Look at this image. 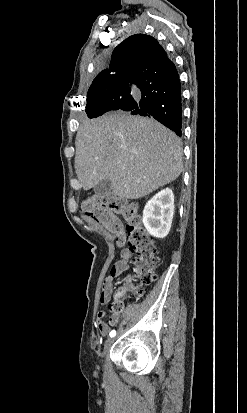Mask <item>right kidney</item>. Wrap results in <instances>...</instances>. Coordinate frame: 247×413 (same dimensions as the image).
<instances>
[{
	"label": "right kidney",
	"instance_id": "ca27d5eb",
	"mask_svg": "<svg viewBox=\"0 0 247 413\" xmlns=\"http://www.w3.org/2000/svg\"><path fill=\"white\" fill-rule=\"evenodd\" d=\"M174 194L172 188H163L146 202L143 211V225L150 235L163 239L167 237L174 215Z\"/></svg>",
	"mask_w": 247,
	"mask_h": 413
}]
</instances>
